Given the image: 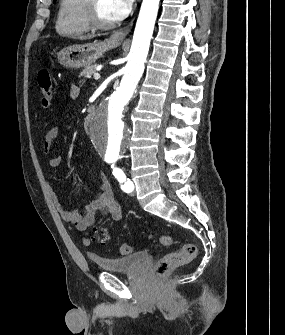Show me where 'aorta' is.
Instances as JSON below:
<instances>
[{
  "label": "aorta",
  "mask_w": 285,
  "mask_h": 335,
  "mask_svg": "<svg viewBox=\"0 0 285 335\" xmlns=\"http://www.w3.org/2000/svg\"><path fill=\"white\" fill-rule=\"evenodd\" d=\"M159 2L143 0L121 84L118 90L110 91L107 100H101L97 105L91 126L86 128V133L94 137L92 147H99L97 155L102 156V160H119V156L128 152L132 130L124 125L121 114L127 102H132L134 90L144 72Z\"/></svg>",
  "instance_id": "obj_1"
}]
</instances>
